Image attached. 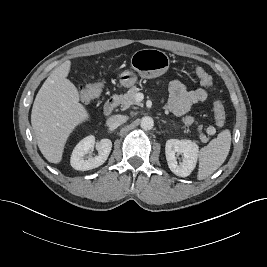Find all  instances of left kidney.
Masks as SVG:
<instances>
[{"instance_id":"left-kidney-1","label":"left kidney","mask_w":267,"mask_h":267,"mask_svg":"<svg viewBox=\"0 0 267 267\" xmlns=\"http://www.w3.org/2000/svg\"><path fill=\"white\" fill-rule=\"evenodd\" d=\"M165 154L170 170L179 177H187L196 167L199 146L192 140L169 139L166 142ZM177 155H182L178 163Z\"/></svg>"}]
</instances>
